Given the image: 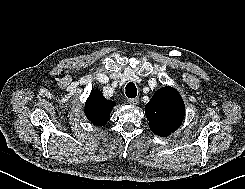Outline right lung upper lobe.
<instances>
[{
  "label": "right lung upper lobe",
  "instance_id": "obj_1",
  "mask_svg": "<svg viewBox=\"0 0 245 189\" xmlns=\"http://www.w3.org/2000/svg\"><path fill=\"white\" fill-rule=\"evenodd\" d=\"M114 106L113 101L107 100L101 91L96 89L86 101L85 114L91 123L102 126L107 123Z\"/></svg>",
  "mask_w": 245,
  "mask_h": 189
}]
</instances>
